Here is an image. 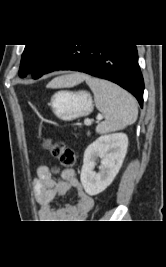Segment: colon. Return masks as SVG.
I'll return each instance as SVG.
<instances>
[{
	"label": "colon",
	"instance_id": "obj_1",
	"mask_svg": "<svg viewBox=\"0 0 166 267\" xmlns=\"http://www.w3.org/2000/svg\"><path fill=\"white\" fill-rule=\"evenodd\" d=\"M43 146L50 149L51 153L60 159L62 165L66 168H71L76 163V156L72 149L65 147L62 143H57L51 146L49 139L43 141Z\"/></svg>",
	"mask_w": 166,
	"mask_h": 267
}]
</instances>
